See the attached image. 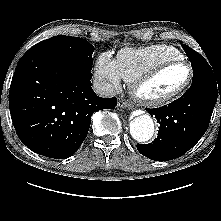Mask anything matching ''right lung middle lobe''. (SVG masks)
Here are the masks:
<instances>
[{"mask_svg":"<svg viewBox=\"0 0 221 221\" xmlns=\"http://www.w3.org/2000/svg\"><path fill=\"white\" fill-rule=\"evenodd\" d=\"M56 57L77 68L91 71L94 46L87 40L71 36H54L41 41L32 48Z\"/></svg>","mask_w":221,"mask_h":221,"instance_id":"dd1d6c3e","label":"right lung middle lobe"}]
</instances>
